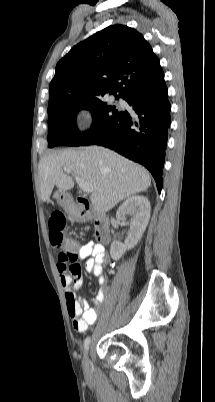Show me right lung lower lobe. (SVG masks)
<instances>
[{"mask_svg": "<svg viewBox=\"0 0 215 402\" xmlns=\"http://www.w3.org/2000/svg\"><path fill=\"white\" fill-rule=\"evenodd\" d=\"M166 84L137 91L125 98L136 116L127 111L98 133L85 136L81 145H102L145 166L158 192L163 185V163L170 128L171 105Z\"/></svg>", "mask_w": 215, "mask_h": 402, "instance_id": "obj_1", "label": "right lung lower lobe"}]
</instances>
